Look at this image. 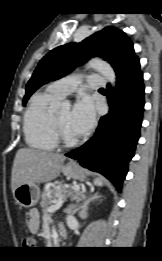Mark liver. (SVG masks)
Wrapping results in <instances>:
<instances>
[{
  "instance_id": "1",
  "label": "liver",
  "mask_w": 162,
  "mask_h": 261,
  "mask_svg": "<svg viewBox=\"0 0 162 261\" xmlns=\"http://www.w3.org/2000/svg\"><path fill=\"white\" fill-rule=\"evenodd\" d=\"M65 159L62 154L30 148L19 149L12 167V193L21 184H39L54 180L60 174Z\"/></svg>"
}]
</instances>
